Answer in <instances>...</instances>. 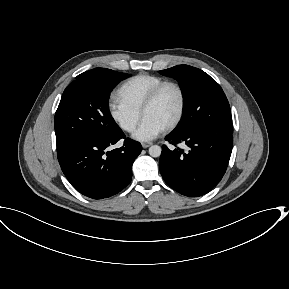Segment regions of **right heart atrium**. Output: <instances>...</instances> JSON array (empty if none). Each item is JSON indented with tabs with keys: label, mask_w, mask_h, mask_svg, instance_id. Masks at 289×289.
Returning <instances> with one entry per match:
<instances>
[{
	"label": "right heart atrium",
	"mask_w": 289,
	"mask_h": 289,
	"mask_svg": "<svg viewBox=\"0 0 289 289\" xmlns=\"http://www.w3.org/2000/svg\"><path fill=\"white\" fill-rule=\"evenodd\" d=\"M108 112L113 121L125 132H132L141 119V113L121 100L113 98L108 103Z\"/></svg>",
	"instance_id": "1"
}]
</instances>
